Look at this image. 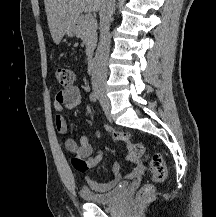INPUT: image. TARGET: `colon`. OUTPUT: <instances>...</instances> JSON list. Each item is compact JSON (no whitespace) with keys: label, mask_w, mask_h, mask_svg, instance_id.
I'll use <instances>...</instances> for the list:
<instances>
[{"label":"colon","mask_w":216,"mask_h":217,"mask_svg":"<svg viewBox=\"0 0 216 217\" xmlns=\"http://www.w3.org/2000/svg\"><path fill=\"white\" fill-rule=\"evenodd\" d=\"M57 82L65 89L73 87L75 81L74 72L69 68L59 67L55 70ZM105 132L116 142L126 144L128 148V159L134 162H146L152 170L153 183H161L168 176L163 156L159 152L148 153L146 146L139 141L132 140L126 133L104 126ZM73 166L80 172H86L89 169L88 161L80 156L72 158ZM155 190L154 184L144 185L137 193V202H142L149 198Z\"/></svg>","instance_id":"5ec220e1"}]
</instances>
